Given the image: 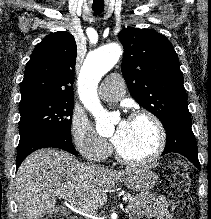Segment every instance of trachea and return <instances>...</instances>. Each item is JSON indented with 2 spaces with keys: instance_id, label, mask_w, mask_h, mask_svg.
Returning a JSON list of instances; mask_svg holds the SVG:
<instances>
[{
  "instance_id": "trachea-1",
  "label": "trachea",
  "mask_w": 211,
  "mask_h": 219,
  "mask_svg": "<svg viewBox=\"0 0 211 219\" xmlns=\"http://www.w3.org/2000/svg\"><path fill=\"white\" fill-rule=\"evenodd\" d=\"M93 11L95 14H101L104 11V5L101 6H93Z\"/></svg>"
}]
</instances>
